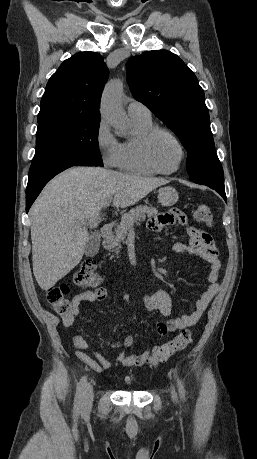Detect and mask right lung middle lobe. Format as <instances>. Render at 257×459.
I'll return each mask as SVG.
<instances>
[{"label":"right lung middle lobe","instance_id":"dd1d6c3e","mask_svg":"<svg viewBox=\"0 0 257 459\" xmlns=\"http://www.w3.org/2000/svg\"><path fill=\"white\" fill-rule=\"evenodd\" d=\"M100 118L49 111L38 114L36 152L32 162L60 156H81L103 166L98 149Z\"/></svg>","mask_w":257,"mask_h":459}]
</instances>
